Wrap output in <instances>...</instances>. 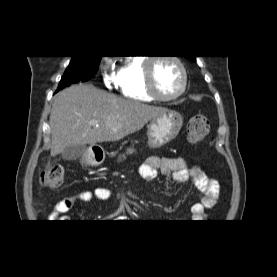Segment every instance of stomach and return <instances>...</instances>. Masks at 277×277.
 <instances>
[{"label": "stomach", "mask_w": 277, "mask_h": 277, "mask_svg": "<svg viewBox=\"0 0 277 277\" xmlns=\"http://www.w3.org/2000/svg\"><path fill=\"white\" fill-rule=\"evenodd\" d=\"M183 125L180 113L167 110L160 116L153 118L147 126L148 144L152 148H159L173 140Z\"/></svg>", "instance_id": "stomach-1"}]
</instances>
